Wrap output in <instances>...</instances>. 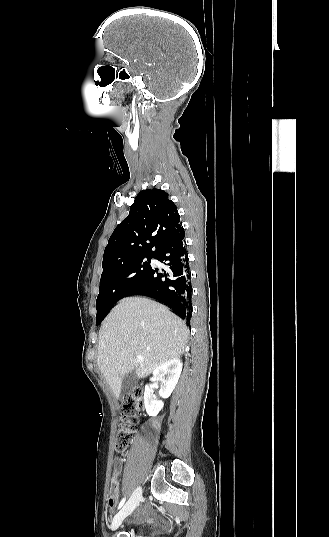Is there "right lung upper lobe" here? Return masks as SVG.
I'll use <instances>...</instances> for the list:
<instances>
[{
  "mask_svg": "<svg viewBox=\"0 0 329 537\" xmlns=\"http://www.w3.org/2000/svg\"><path fill=\"white\" fill-rule=\"evenodd\" d=\"M183 231L180 216L168 194L161 189L142 190L130 213L114 230L104 251L103 268L152 257Z\"/></svg>",
  "mask_w": 329,
  "mask_h": 537,
  "instance_id": "obj_1",
  "label": "right lung upper lobe"
}]
</instances>
